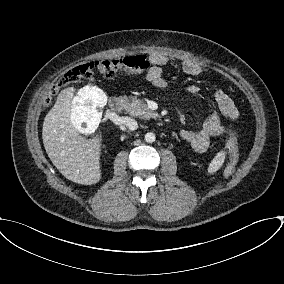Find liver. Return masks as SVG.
Here are the masks:
<instances>
[{
    "mask_svg": "<svg viewBox=\"0 0 284 284\" xmlns=\"http://www.w3.org/2000/svg\"><path fill=\"white\" fill-rule=\"evenodd\" d=\"M75 89L62 90L44 118L43 144L53 165L78 184L92 185L101 179V140L98 136L86 139L71 122L72 100Z\"/></svg>",
    "mask_w": 284,
    "mask_h": 284,
    "instance_id": "1",
    "label": "liver"
}]
</instances>
